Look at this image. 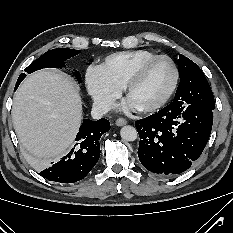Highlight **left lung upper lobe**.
Returning <instances> with one entry per match:
<instances>
[{
	"instance_id": "left-lung-upper-lobe-1",
	"label": "left lung upper lobe",
	"mask_w": 233,
	"mask_h": 233,
	"mask_svg": "<svg viewBox=\"0 0 233 233\" xmlns=\"http://www.w3.org/2000/svg\"><path fill=\"white\" fill-rule=\"evenodd\" d=\"M180 83L173 102L181 105L214 109V97L201 69L180 54L178 59Z\"/></svg>"
}]
</instances>
